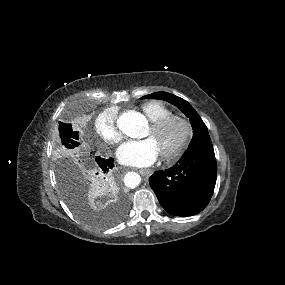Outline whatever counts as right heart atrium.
<instances>
[{"mask_svg":"<svg viewBox=\"0 0 285 285\" xmlns=\"http://www.w3.org/2000/svg\"><path fill=\"white\" fill-rule=\"evenodd\" d=\"M94 131L98 138L107 145H116L122 139L117 124V115L113 110H105L95 118Z\"/></svg>","mask_w":285,"mask_h":285,"instance_id":"obj_1","label":"right heart atrium"}]
</instances>
